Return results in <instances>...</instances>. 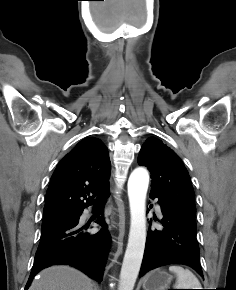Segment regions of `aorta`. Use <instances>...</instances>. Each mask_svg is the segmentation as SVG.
<instances>
[{
	"instance_id": "aorta-1",
	"label": "aorta",
	"mask_w": 236,
	"mask_h": 290,
	"mask_svg": "<svg viewBox=\"0 0 236 290\" xmlns=\"http://www.w3.org/2000/svg\"><path fill=\"white\" fill-rule=\"evenodd\" d=\"M149 174L135 169L128 180L130 231L120 273L119 290H133L143 259L146 242V194Z\"/></svg>"
}]
</instances>
